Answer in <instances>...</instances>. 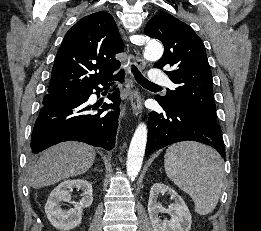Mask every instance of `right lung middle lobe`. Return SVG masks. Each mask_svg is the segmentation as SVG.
Wrapping results in <instances>:
<instances>
[{
  "mask_svg": "<svg viewBox=\"0 0 261 231\" xmlns=\"http://www.w3.org/2000/svg\"><path fill=\"white\" fill-rule=\"evenodd\" d=\"M78 95L81 94H77V95H69V96H60V95H45L44 99H43V105H50V104H54L60 101H64L67 99H71L73 97H76Z\"/></svg>",
  "mask_w": 261,
  "mask_h": 231,
  "instance_id": "obj_1",
  "label": "right lung middle lobe"
}]
</instances>
